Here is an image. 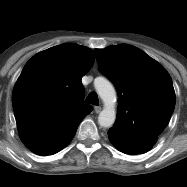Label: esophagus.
Wrapping results in <instances>:
<instances>
[{"mask_svg":"<svg viewBox=\"0 0 187 187\" xmlns=\"http://www.w3.org/2000/svg\"><path fill=\"white\" fill-rule=\"evenodd\" d=\"M101 109H102L101 106H95L94 107V110H95L96 113H99L101 111Z\"/></svg>","mask_w":187,"mask_h":187,"instance_id":"1","label":"esophagus"}]
</instances>
